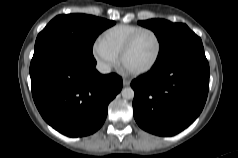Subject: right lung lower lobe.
Segmentation results:
<instances>
[{"label":"right lung lower lobe","mask_w":238,"mask_h":158,"mask_svg":"<svg viewBox=\"0 0 238 158\" xmlns=\"http://www.w3.org/2000/svg\"><path fill=\"white\" fill-rule=\"evenodd\" d=\"M96 60L70 45L48 41L35 49L30 64L32 96L43 119L69 137L96 132L107 107L122 89L115 73L102 75Z\"/></svg>","instance_id":"obj_1"}]
</instances>
